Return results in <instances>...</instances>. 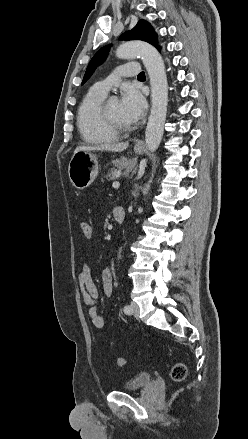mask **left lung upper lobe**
Masks as SVG:
<instances>
[{
	"label": "left lung upper lobe",
	"instance_id": "5c2ea615",
	"mask_svg": "<svg viewBox=\"0 0 248 439\" xmlns=\"http://www.w3.org/2000/svg\"><path fill=\"white\" fill-rule=\"evenodd\" d=\"M121 40H142L145 42L150 43L154 47H156L158 50H160V46L158 45V39L157 35L152 28V26L145 20H140L137 25L130 31L126 32L120 37ZM109 50V46H105L101 48L91 59L90 63L88 64V67L86 69L82 84L85 83L92 73L94 72V69L102 63L104 60L105 55L107 54V51Z\"/></svg>",
	"mask_w": 248,
	"mask_h": 439
}]
</instances>
